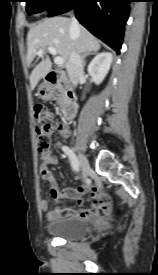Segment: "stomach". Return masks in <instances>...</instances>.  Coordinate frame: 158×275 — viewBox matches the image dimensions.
Returning <instances> with one entry per match:
<instances>
[{
    "mask_svg": "<svg viewBox=\"0 0 158 275\" xmlns=\"http://www.w3.org/2000/svg\"><path fill=\"white\" fill-rule=\"evenodd\" d=\"M54 95V89L52 87V85H50L48 82L44 81L42 84H40V86L38 87V92H37V96L44 100H50L52 99Z\"/></svg>",
    "mask_w": 158,
    "mask_h": 275,
    "instance_id": "1",
    "label": "stomach"
}]
</instances>
